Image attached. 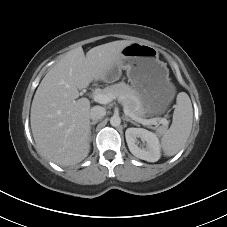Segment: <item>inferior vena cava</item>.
<instances>
[{
  "label": "inferior vena cava",
  "mask_w": 227,
  "mask_h": 227,
  "mask_svg": "<svg viewBox=\"0 0 227 227\" xmlns=\"http://www.w3.org/2000/svg\"><path fill=\"white\" fill-rule=\"evenodd\" d=\"M106 114V110L105 108L101 107V106H94L91 110H90V118L93 121L102 119Z\"/></svg>",
  "instance_id": "inferior-vena-cava-1"
}]
</instances>
